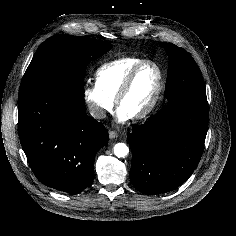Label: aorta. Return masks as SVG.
<instances>
[{"label": "aorta", "instance_id": "obj_1", "mask_svg": "<svg viewBox=\"0 0 236 236\" xmlns=\"http://www.w3.org/2000/svg\"><path fill=\"white\" fill-rule=\"evenodd\" d=\"M129 153V148L125 143H117L114 146V154L118 157V158H124L125 156H127Z\"/></svg>", "mask_w": 236, "mask_h": 236}]
</instances>
